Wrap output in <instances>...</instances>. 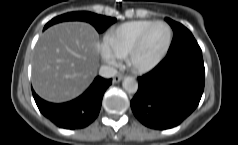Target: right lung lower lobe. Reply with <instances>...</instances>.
<instances>
[{
    "mask_svg": "<svg viewBox=\"0 0 238 145\" xmlns=\"http://www.w3.org/2000/svg\"><path fill=\"white\" fill-rule=\"evenodd\" d=\"M112 79L96 77L91 86L78 98L61 104L41 99L33 90V97L40 112L58 127L80 129L92 123L99 114L105 90Z\"/></svg>",
    "mask_w": 238,
    "mask_h": 145,
    "instance_id": "98d812e1",
    "label": "right lung lower lobe"
}]
</instances>
